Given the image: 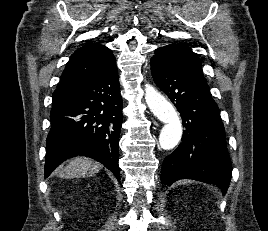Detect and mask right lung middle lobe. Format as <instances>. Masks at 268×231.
I'll use <instances>...</instances> for the list:
<instances>
[{"instance_id":"right-lung-middle-lobe-1","label":"right lung middle lobe","mask_w":268,"mask_h":231,"mask_svg":"<svg viewBox=\"0 0 268 231\" xmlns=\"http://www.w3.org/2000/svg\"><path fill=\"white\" fill-rule=\"evenodd\" d=\"M73 94L71 90H63L53 93V106H57L67 101Z\"/></svg>"}]
</instances>
